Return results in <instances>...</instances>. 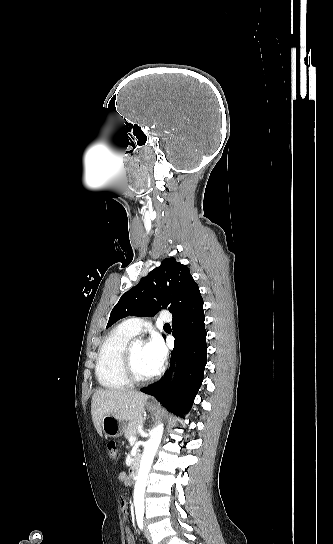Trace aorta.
<instances>
[{
  "label": "aorta",
  "mask_w": 333,
  "mask_h": 544,
  "mask_svg": "<svg viewBox=\"0 0 333 544\" xmlns=\"http://www.w3.org/2000/svg\"><path fill=\"white\" fill-rule=\"evenodd\" d=\"M137 343L138 341H136L134 344ZM162 433L163 425L159 424L155 429H153L149 440L145 444L134 487V505L136 508H144L146 481L154 456L161 442Z\"/></svg>",
  "instance_id": "obj_1"
}]
</instances>
